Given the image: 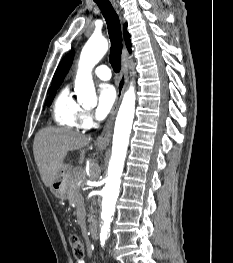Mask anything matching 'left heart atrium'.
Wrapping results in <instances>:
<instances>
[{
	"mask_svg": "<svg viewBox=\"0 0 233 263\" xmlns=\"http://www.w3.org/2000/svg\"><path fill=\"white\" fill-rule=\"evenodd\" d=\"M116 102V91L113 86L102 85L98 92V105L95 116L98 120H103L113 109Z\"/></svg>",
	"mask_w": 233,
	"mask_h": 263,
	"instance_id": "39dd6f15",
	"label": "left heart atrium"
}]
</instances>
